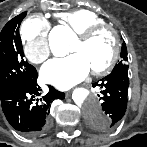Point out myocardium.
Instances as JSON below:
<instances>
[{
    "instance_id": "myocardium-1",
    "label": "myocardium",
    "mask_w": 147,
    "mask_h": 147,
    "mask_svg": "<svg viewBox=\"0 0 147 147\" xmlns=\"http://www.w3.org/2000/svg\"><path fill=\"white\" fill-rule=\"evenodd\" d=\"M108 32L112 35L113 39V51L109 61L99 69L91 70V73L95 76H102L108 74L117 64L120 52H121V44L117 31L107 24L93 26L86 31L77 34V40L83 44L90 43L98 34Z\"/></svg>"
}]
</instances>
